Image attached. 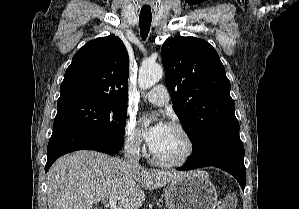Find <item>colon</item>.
<instances>
[{
    "mask_svg": "<svg viewBox=\"0 0 299 209\" xmlns=\"http://www.w3.org/2000/svg\"><path fill=\"white\" fill-rule=\"evenodd\" d=\"M219 209H235V198L228 195L220 204Z\"/></svg>",
    "mask_w": 299,
    "mask_h": 209,
    "instance_id": "colon-1",
    "label": "colon"
}]
</instances>
